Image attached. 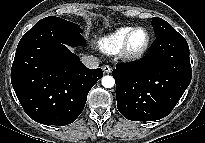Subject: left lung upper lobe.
<instances>
[{
  "mask_svg": "<svg viewBox=\"0 0 205 143\" xmlns=\"http://www.w3.org/2000/svg\"><path fill=\"white\" fill-rule=\"evenodd\" d=\"M152 25L154 27L156 38L175 31V29L168 22L161 18L153 17Z\"/></svg>",
  "mask_w": 205,
  "mask_h": 143,
  "instance_id": "left-lung-upper-lobe-1",
  "label": "left lung upper lobe"
}]
</instances>
